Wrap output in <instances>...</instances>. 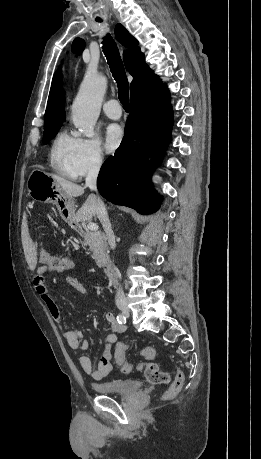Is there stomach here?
I'll return each mask as SVG.
<instances>
[{"label":"stomach","mask_w":261,"mask_h":459,"mask_svg":"<svg viewBox=\"0 0 261 459\" xmlns=\"http://www.w3.org/2000/svg\"><path fill=\"white\" fill-rule=\"evenodd\" d=\"M27 189L33 200L57 205L61 212L64 211V217L73 215L68 197L49 173L39 169L33 170L27 181Z\"/></svg>","instance_id":"obj_1"}]
</instances>
